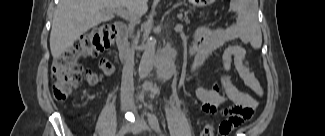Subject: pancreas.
Segmentation results:
<instances>
[{"label":"pancreas","instance_id":"1","mask_svg":"<svg viewBox=\"0 0 325 136\" xmlns=\"http://www.w3.org/2000/svg\"><path fill=\"white\" fill-rule=\"evenodd\" d=\"M179 13H180V16H187V17H183L181 19V22L183 24H190L192 21L191 19L199 18V13L196 12L193 5L183 6L182 9H180Z\"/></svg>","mask_w":325,"mask_h":136}]
</instances>
